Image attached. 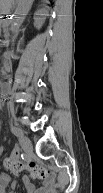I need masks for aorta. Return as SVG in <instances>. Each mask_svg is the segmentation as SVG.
Returning a JSON list of instances; mask_svg holds the SVG:
<instances>
[{"label":"aorta","instance_id":"aorta-1","mask_svg":"<svg viewBox=\"0 0 103 193\" xmlns=\"http://www.w3.org/2000/svg\"><path fill=\"white\" fill-rule=\"evenodd\" d=\"M32 1L33 0H19L18 1V5L15 10V17L12 19V22H11L10 30L12 33H15L19 29L21 24L23 23L24 18L27 15L31 7Z\"/></svg>","mask_w":103,"mask_h":193}]
</instances>
